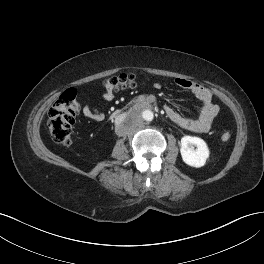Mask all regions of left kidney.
Returning <instances> with one entry per match:
<instances>
[{
    "mask_svg": "<svg viewBox=\"0 0 264 264\" xmlns=\"http://www.w3.org/2000/svg\"><path fill=\"white\" fill-rule=\"evenodd\" d=\"M194 146L196 149H194ZM180 153L187 165L196 168L204 166L210 154L205 141L193 136L182 137Z\"/></svg>",
    "mask_w": 264,
    "mask_h": 264,
    "instance_id": "obj_1",
    "label": "left kidney"
}]
</instances>
